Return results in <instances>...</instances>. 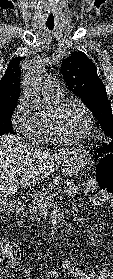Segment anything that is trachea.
<instances>
[{"instance_id":"obj_1","label":"trachea","mask_w":113,"mask_h":279,"mask_svg":"<svg viewBox=\"0 0 113 279\" xmlns=\"http://www.w3.org/2000/svg\"><path fill=\"white\" fill-rule=\"evenodd\" d=\"M47 28H48L49 30H53L54 26L47 25Z\"/></svg>"}]
</instances>
